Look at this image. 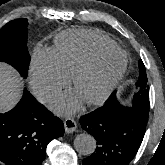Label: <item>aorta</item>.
<instances>
[{"label":"aorta","mask_w":165,"mask_h":165,"mask_svg":"<svg viewBox=\"0 0 165 165\" xmlns=\"http://www.w3.org/2000/svg\"><path fill=\"white\" fill-rule=\"evenodd\" d=\"M74 147L81 155H91L96 149V140L92 135L82 133L76 136Z\"/></svg>","instance_id":"obj_1"}]
</instances>
